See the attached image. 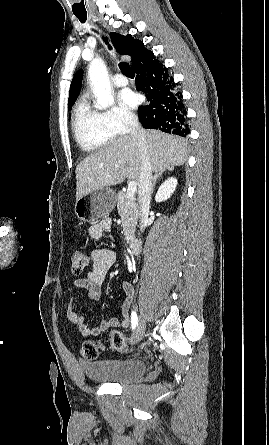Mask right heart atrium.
I'll list each match as a JSON object with an SVG mask.
<instances>
[{
	"instance_id": "obj_1",
	"label": "right heart atrium",
	"mask_w": 269,
	"mask_h": 445,
	"mask_svg": "<svg viewBox=\"0 0 269 445\" xmlns=\"http://www.w3.org/2000/svg\"><path fill=\"white\" fill-rule=\"evenodd\" d=\"M102 118L114 136L127 133L136 123L135 114L123 105L115 104L101 113Z\"/></svg>"
}]
</instances>
